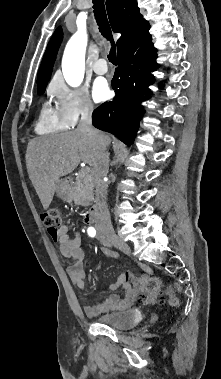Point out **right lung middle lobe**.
Listing matches in <instances>:
<instances>
[{
	"label": "right lung middle lobe",
	"instance_id": "right-lung-middle-lobe-1",
	"mask_svg": "<svg viewBox=\"0 0 221 379\" xmlns=\"http://www.w3.org/2000/svg\"><path fill=\"white\" fill-rule=\"evenodd\" d=\"M46 86L38 87V93L43 94Z\"/></svg>",
	"mask_w": 221,
	"mask_h": 379
}]
</instances>
